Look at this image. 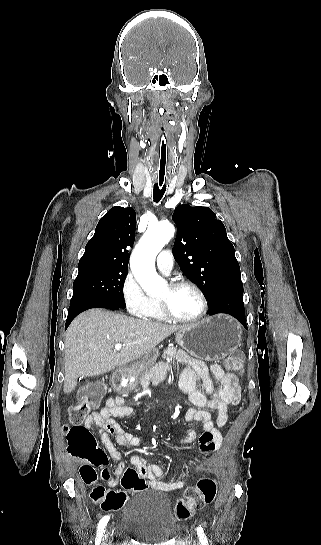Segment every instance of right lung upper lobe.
<instances>
[{
  "mask_svg": "<svg viewBox=\"0 0 321 545\" xmlns=\"http://www.w3.org/2000/svg\"><path fill=\"white\" fill-rule=\"evenodd\" d=\"M136 215L133 208L113 207L98 222L88 241L79 267L128 269L129 251L135 240Z\"/></svg>",
  "mask_w": 321,
  "mask_h": 545,
  "instance_id": "cb5924a9",
  "label": "right lung upper lobe"
}]
</instances>
